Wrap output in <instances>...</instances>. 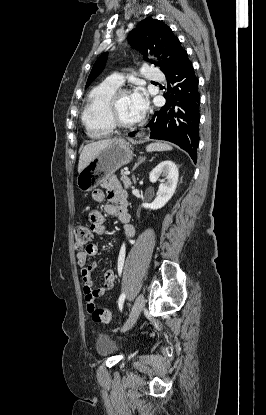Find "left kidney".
Masks as SVG:
<instances>
[{
	"label": "left kidney",
	"mask_w": 266,
	"mask_h": 415,
	"mask_svg": "<svg viewBox=\"0 0 266 415\" xmlns=\"http://www.w3.org/2000/svg\"><path fill=\"white\" fill-rule=\"evenodd\" d=\"M163 177V183L159 184L157 196L151 204H143L146 209L157 210L166 205L175 193L179 172L176 164L172 161H162L150 173L149 179L152 183L160 181Z\"/></svg>",
	"instance_id": "left-kidney-1"
}]
</instances>
